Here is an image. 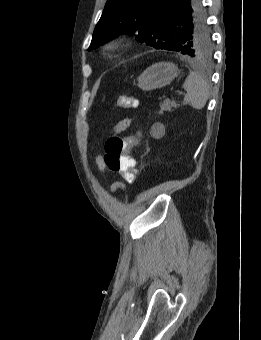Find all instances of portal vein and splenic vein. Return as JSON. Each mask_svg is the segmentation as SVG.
I'll return each instance as SVG.
<instances>
[{
	"label": "portal vein and splenic vein",
	"mask_w": 261,
	"mask_h": 340,
	"mask_svg": "<svg viewBox=\"0 0 261 340\" xmlns=\"http://www.w3.org/2000/svg\"><path fill=\"white\" fill-rule=\"evenodd\" d=\"M185 93L184 92H178V96H182V95H184Z\"/></svg>",
	"instance_id": "portal-vein-and-splenic-vein-1"
}]
</instances>
